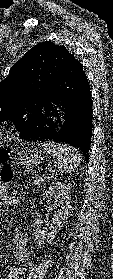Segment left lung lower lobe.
<instances>
[{"label":"left lung lower lobe","instance_id":"obj_1","mask_svg":"<svg viewBox=\"0 0 113 279\" xmlns=\"http://www.w3.org/2000/svg\"><path fill=\"white\" fill-rule=\"evenodd\" d=\"M20 139L56 142L77 148L88 160L92 136V100L81 63L71 55L33 113Z\"/></svg>","mask_w":113,"mask_h":279}]
</instances>
